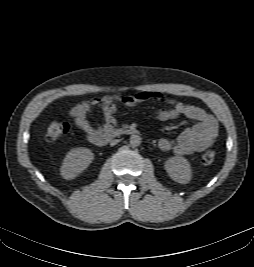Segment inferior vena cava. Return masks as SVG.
I'll list each match as a JSON object with an SVG mask.
<instances>
[{
    "label": "inferior vena cava",
    "instance_id": "obj_1",
    "mask_svg": "<svg viewBox=\"0 0 254 267\" xmlns=\"http://www.w3.org/2000/svg\"><path fill=\"white\" fill-rule=\"evenodd\" d=\"M118 142H119V140H113V141H111L110 145H111V146H114V145H116Z\"/></svg>",
    "mask_w": 254,
    "mask_h": 267
}]
</instances>
